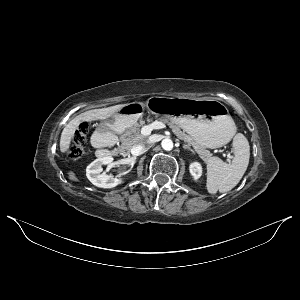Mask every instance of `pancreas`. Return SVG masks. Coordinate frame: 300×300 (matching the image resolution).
<instances>
[{"label": "pancreas", "instance_id": "cf45deb5", "mask_svg": "<svg viewBox=\"0 0 300 300\" xmlns=\"http://www.w3.org/2000/svg\"><path fill=\"white\" fill-rule=\"evenodd\" d=\"M159 120L168 124L176 136L192 145L203 161L208 162L212 158L211 152L205 146L194 141L189 135L181 131L179 126L165 118H160ZM145 139L146 137L140 133V124H135L120 137L121 145L119 146V151L125 153V151L130 150L131 147L143 142Z\"/></svg>", "mask_w": 300, "mask_h": 300}]
</instances>
